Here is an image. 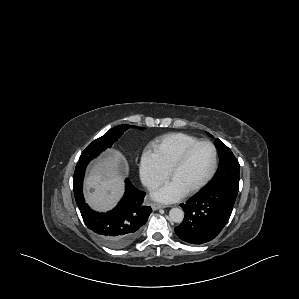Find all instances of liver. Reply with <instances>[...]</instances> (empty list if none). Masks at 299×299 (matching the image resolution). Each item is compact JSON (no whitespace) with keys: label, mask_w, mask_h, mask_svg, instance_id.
<instances>
[{"label":"liver","mask_w":299,"mask_h":299,"mask_svg":"<svg viewBox=\"0 0 299 299\" xmlns=\"http://www.w3.org/2000/svg\"><path fill=\"white\" fill-rule=\"evenodd\" d=\"M124 156L113 150L109 155L96 161L85 179V198L97 211H106L116 205L124 192L120 164Z\"/></svg>","instance_id":"obj_1"}]
</instances>
